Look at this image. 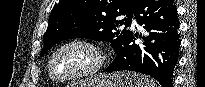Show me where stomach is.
Wrapping results in <instances>:
<instances>
[{
	"label": "stomach",
	"instance_id": "1",
	"mask_svg": "<svg viewBox=\"0 0 205 87\" xmlns=\"http://www.w3.org/2000/svg\"><path fill=\"white\" fill-rule=\"evenodd\" d=\"M152 83L138 73L134 72H114L104 73L86 79L79 84L70 87H151Z\"/></svg>",
	"mask_w": 205,
	"mask_h": 87
}]
</instances>
